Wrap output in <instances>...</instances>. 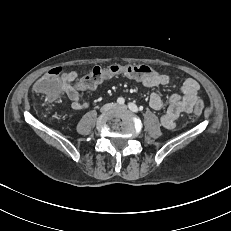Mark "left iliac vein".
<instances>
[{
    "label": "left iliac vein",
    "mask_w": 231,
    "mask_h": 231,
    "mask_svg": "<svg viewBox=\"0 0 231 231\" xmlns=\"http://www.w3.org/2000/svg\"><path fill=\"white\" fill-rule=\"evenodd\" d=\"M115 108L120 110H127V107L125 105H116Z\"/></svg>",
    "instance_id": "4c4485c4"
}]
</instances>
